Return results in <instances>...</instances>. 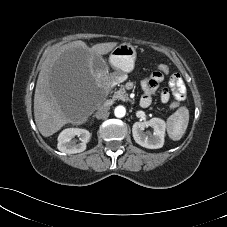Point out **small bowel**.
<instances>
[{
  "mask_svg": "<svg viewBox=\"0 0 227 227\" xmlns=\"http://www.w3.org/2000/svg\"><path fill=\"white\" fill-rule=\"evenodd\" d=\"M164 75L159 71H153L148 77H146L142 83L143 96L141 98V105L143 107H148L152 103V97L157 91L159 84L163 81ZM169 86L173 93L174 98L177 101H182L185 99L186 86L179 74H172L169 78ZM171 94L167 88L161 91L160 98L161 101L167 103L170 100Z\"/></svg>",
  "mask_w": 227,
  "mask_h": 227,
  "instance_id": "c3829d8e",
  "label": "small bowel"
}]
</instances>
